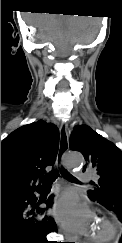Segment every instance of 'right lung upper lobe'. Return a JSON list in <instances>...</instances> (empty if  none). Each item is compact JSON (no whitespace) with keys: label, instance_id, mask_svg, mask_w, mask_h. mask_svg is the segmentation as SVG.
<instances>
[{"label":"right lung upper lobe","instance_id":"right-lung-upper-lobe-1","mask_svg":"<svg viewBox=\"0 0 122 243\" xmlns=\"http://www.w3.org/2000/svg\"><path fill=\"white\" fill-rule=\"evenodd\" d=\"M59 131L42 120L22 126L1 142V199L33 190L45 167L53 165Z\"/></svg>","mask_w":122,"mask_h":243}]
</instances>
